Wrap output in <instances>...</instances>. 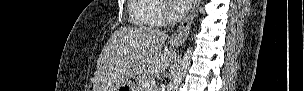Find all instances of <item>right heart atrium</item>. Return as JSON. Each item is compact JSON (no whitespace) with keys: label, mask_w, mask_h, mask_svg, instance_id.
Segmentation results:
<instances>
[{"label":"right heart atrium","mask_w":304,"mask_h":91,"mask_svg":"<svg viewBox=\"0 0 304 91\" xmlns=\"http://www.w3.org/2000/svg\"><path fill=\"white\" fill-rule=\"evenodd\" d=\"M168 18V11L166 8H160L156 18L157 23L164 22Z\"/></svg>","instance_id":"1"}]
</instances>
